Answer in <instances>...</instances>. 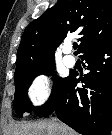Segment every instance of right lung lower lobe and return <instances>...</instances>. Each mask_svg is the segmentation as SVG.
Wrapping results in <instances>:
<instances>
[{
  "instance_id": "98d812e1",
  "label": "right lung lower lobe",
  "mask_w": 112,
  "mask_h": 135,
  "mask_svg": "<svg viewBox=\"0 0 112 135\" xmlns=\"http://www.w3.org/2000/svg\"><path fill=\"white\" fill-rule=\"evenodd\" d=\"M82 60L90 71L79 80L70 74L53 101L37 114L45 117L53 112L82 135H111L112 130V40L86 49Z\"/></svg>"
}]
</instances>
